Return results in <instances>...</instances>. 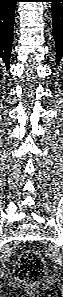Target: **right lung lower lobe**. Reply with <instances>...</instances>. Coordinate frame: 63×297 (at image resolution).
Wrapping results in <instances>:
<instances>
[{
    "label": "right lung lower lobe",
    "mask_w": 63,
    "mask_h": 297,
    "mask_svg": "<svg viewBox=\"0 0 63 297\" xmlns=\"http://www.w3.org/2000/svg\"><path fill=\"white\" fill-rule=\"evenodd\" d=\"M17 0H0V58L9 68Z\"/></svg>",
    "instance_id": "right-lung-lower-lobe-1"
}]
</instances>
